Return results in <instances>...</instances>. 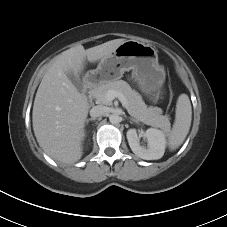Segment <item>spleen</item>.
<instances>
[{
	"mask_svg": "<svg viewBox=\"0 0 227 227\" xmlns=\"http://www.w3.org/2000/svg\"><path fill=\"white\" fill-rule=\"evenodd\" d=\"M192 107L189 97L181 94L176 104V115L172 130L168 135V146L171 150L177 149L185 140L191 126Z\"/></svg>",
	"mask_w": 227,
	"mask_h": 227,
	"instance_id": "spleen-1",
	"label": "spleen"
}]
</instances>
